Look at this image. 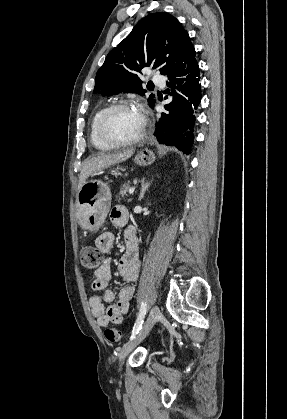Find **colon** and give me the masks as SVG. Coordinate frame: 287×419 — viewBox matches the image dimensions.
<instances>
[{
  "instance_id": "obj_1",
  "label": "colon",
  "mask_w": 287,
  "mask_h": 419,
  "mask_svg": "<svg viewBox=\"0 0 287 419\" xmlns=\"http://www.w3.org/2000/svg\"><path fill=\"white\" fill-rule=\"evenodd\" d=\"M81 261L85 270L96 271L103 261V255L98 248L87 246L81 251ZM104 336L105 339L111 343L119 342L123 337L121 331L116 328L106 329L104 331Z\"/></svg>"
}]
</instances>
